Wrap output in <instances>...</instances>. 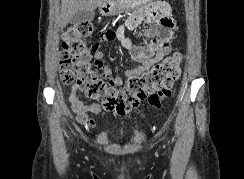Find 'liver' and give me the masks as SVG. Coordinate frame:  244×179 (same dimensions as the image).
Here are the masks:
<instances>
[{"instance_id":"obj_1","label":"liver","mask_w":244,"mask_h":179,"mask_svg":"<svg viewBox=\"0 0 244 179\" xmlns=\"http://www.w3.org/2000/svg\"><path fill=\"white\" fill-rule=\"evenodd\" d=\"M61 2L62 26H66L77 12L95 10L96 6H100L105 0H61Z\"/></svg>"}]
</instances>
